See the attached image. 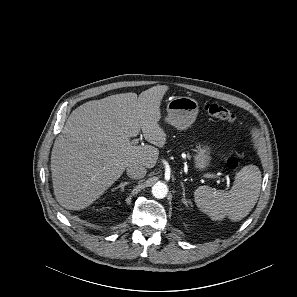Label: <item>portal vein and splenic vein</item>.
Masks as SVG:
<instances>
[{"label": "portal vein and splenic vein", "mask_w": 297, "mask_h": 297, "mask_svg": "<svg viewBox=\"0 0 297 297\" xmlns=\"http://www.w3.org/2000/svg\"><path fill=\"white\" fill-rule=\"evenodd\" d=\"M131 143L133 145L138 144V139H133ZM203 177L204 178H208V179H218V178H220L219 175H217V174H210V173L203 174Z\"/></svg>", "instance_id": "obj_1"}]
</instances>
